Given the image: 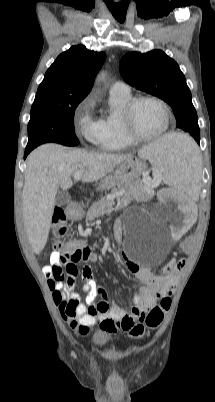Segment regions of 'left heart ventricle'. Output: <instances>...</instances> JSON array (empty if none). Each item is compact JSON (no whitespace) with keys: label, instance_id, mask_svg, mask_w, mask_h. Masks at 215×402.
I'll return each mask as SVG.
<instances>
[{"label":"left heart ventricle","instance_id":"obj_1","mask_svg":"<svg viewBox=\"0 0 215 402\" xmlns=\"http://www.w3.org/2000/svg\"><path fill=\"white\" fill-rule=\"evenodd\" d=\"M134 125L139 134L153 135L163 129L165 114L162 108L152 101L138 104L134 112Z\"/></svg>","mask_w":215,"mask_h":402}]
</instances>
